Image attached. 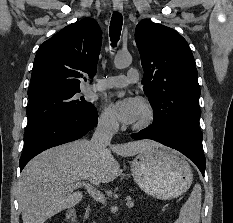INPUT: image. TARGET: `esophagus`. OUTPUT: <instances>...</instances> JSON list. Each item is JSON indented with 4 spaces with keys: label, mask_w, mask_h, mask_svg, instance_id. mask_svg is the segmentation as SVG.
<instances>
[{
    "label": "esophagus",
    "mask_w": 233,
    "mask_h": 223,
    "mask_svg": "<svg viewBox=\"0 0 233 223\" xmlns=\"http://www.w3.org/2000/svg\"><path fill=\"white\" fill-rule=\"evenodd\" d=\"M113 8L117 12H122V10H123V1L122 0H120V1L114 0L113 1Z\"/></svg>",
    "instance_id": "esophagus-1"
}]
</instances>
